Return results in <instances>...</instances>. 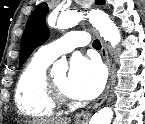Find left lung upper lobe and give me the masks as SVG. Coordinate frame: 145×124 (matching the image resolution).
<instances>
[{
    "label": "left lung upper lobe",
    "mask_w": 145,
    "mask_h": 124,
    "mask_svg": "<svg viewBox=\"0 0 145 124\" xmlns=\"http://www.w3.org/2000/svg\"><path fill=\"white\" fill-rule=\"evenodd\" d=\"M104 0H97L102 4ZM49 12L46 3L39 4L29 17L20 45V66L27 60L36 47L42 45L49 37V29L45 18Z\"/></svg>",
    "instance_id": "obj_1"
}]
</instances>
